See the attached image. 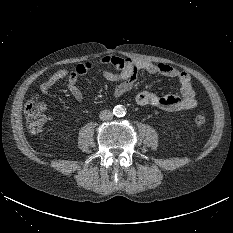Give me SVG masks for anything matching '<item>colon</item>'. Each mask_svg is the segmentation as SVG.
Here are the masks:
<instances>
[{
	"label": "colon",
	"instance_id": "obj_1",
	"mask_svg": "<svg viewBox=\"0 0 233 233\" xmlns=\"http://www.w3.org/2000/svg\"><path fill=\"white\" fill-rule=\"evenodd\" d=\"M44 109V105L36 100H29L25 105L24 113L28 130L33 134L38 133L41 130L46 120ZM194 122L197 126H203L206 123V118L205 116L198 114L194 117Z\"/></svg>",
	"mask_w": 233,
	"mask_h": 233
}]
</instances>
